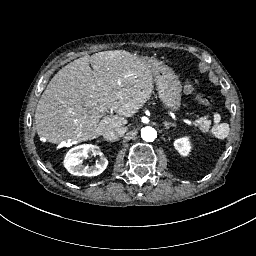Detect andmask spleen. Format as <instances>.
Returning a JSON list of instances; mask_svg holds the SVG:
<instances>
[{
  "instance_id": "1",
  "label": "spleen",
  "mask_w": 256,
  "mask_h": 256,
  "mask_svg": "<svg viewBox=\"0 0 256 256\" xmlns=\"http://www.w3.org/2000/svg\"><path fill=\"white\" fill-rule=\"evenodd\" d=\"M218 115L216 114L215 117ZM219 117V116H218ZM212 137L218 139V140H224L228 137L230 133V126L226 122H220V119H214L213 126L208 130L207 132Z\"/></svg>"
}]
</instances>
